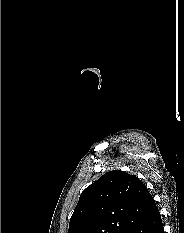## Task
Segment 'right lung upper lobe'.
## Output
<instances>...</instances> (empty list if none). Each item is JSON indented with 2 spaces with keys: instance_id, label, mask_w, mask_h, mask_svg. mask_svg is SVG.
<instances>
[{
  "instance_id": "obj_1",
  "label": "right lung upper lobe",
  "mask_w": 184,
  "mask_h": 233,
  "mask_svg": "<svg viewBox=\"0 0 184 233\" xmlns=\"http://www.w3.org/2000/svg\"><path fill=\"white\" fill-rule=\"evenodd\" d=\"M155 208L153 197L136 176L110 171L82 192L68 233H128Z\"/></svg>"
}]
</instances>
